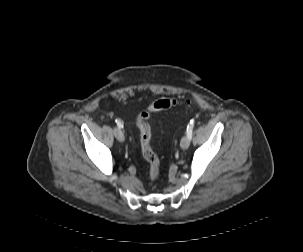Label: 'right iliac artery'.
Here are the masks:
<instances>
[{"mask_svg":"<svg viewBox=\"0 0 303 252\" xmlns=\"http://www.w3.org/2000/svg\"><path fill=\"white\" fill-rule=\"evenodd\" d=\"M116 123H117L119 128H123V123L120 120L116 119Z\"/></svg>","mask_w":303,"mask_h":252,"instance_id":"right-iliac-artery-1","label":"right iliac artery"}]
</instances>
